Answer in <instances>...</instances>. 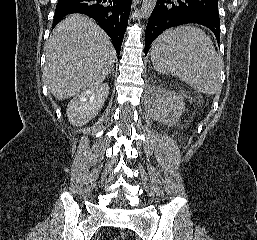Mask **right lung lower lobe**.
Returning <instances> with one entry per match:
<instances>
[{
  "label": "right lung lower lobe",
  "instance_id": "right-lung-lower-lobe-1",
  "mask_svg": "<svg viewBox=\"0 0 257 240\" xmlns=\"http://www.w3.org/2000/svg\"><path fill=\"white\" fill-rule=\"evenodd\" d=\"M132 0H58L52 29L63 17L81 13L99 23L113 42L119 56L123 36L128 25Z\"/></svg>",
  "mask_w": 257,
  "mask_h": 240
}]
</instances>
